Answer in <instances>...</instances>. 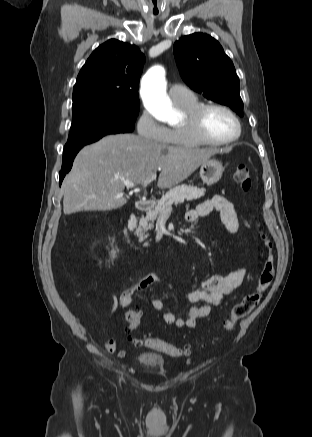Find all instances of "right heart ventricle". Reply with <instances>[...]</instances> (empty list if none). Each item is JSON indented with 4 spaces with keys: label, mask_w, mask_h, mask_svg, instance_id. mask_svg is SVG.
I'll return each mask as SVG.
<instances>
[{
    "label": "right heart ventricle",
    "mask_w": 312,
    "mask_h": 437,
    "mask_svg": "<svg viewBox=\"0 0 312 437\" xmlns=\"http://www.w3.org/2000/svg\"><path fill=\"white\" fill-rule=\"evenodd\" d=\"M174 104L184 114L189 113L191 110L201 105L197 97L193 94L186 101ZM168 131V138L165 142L167 145L183 148H193L200 145V143L193 139L192 136L186 131V129L182 125L170 128L168 129Z\"/></svg>",
    "instance_id": "right-heart-ventricle-1"
}]
</instances>
